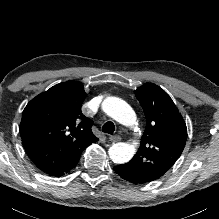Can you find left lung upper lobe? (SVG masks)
Segmentation results:
<instances>
[{"mask_svg": "<svg viewBox=\"0 0 219 219\" xmlns=\"http://www.w3.org/2000/svg\"><path fill=\"white\" fill-rule=\"evenodd\" d=\"M134 93L147 124L138 152L125 165L158 179L180 157L187 139L186 124L170 96L159 86L146 83Z\"/></svg>", "mask_w": 219, "mask_h": 219, "instance_id": "left-lung-upper-lobe-1", "label": "left lung upper lobe"}]
</instances>
